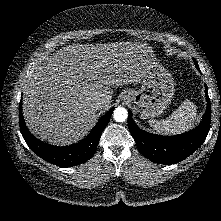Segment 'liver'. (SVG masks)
Returning a JSON list of instances; mask_svg holds the SVG:
<instances>
[{
  "label": "liver",
  "mask_w": 221,
  "mask_h": 221,
  "mask_svg": "<svg viewBox=\"0 0 221 221\" xmlns=\"http://www.w3.org/2000/svg\"><path fill=\"white\" fill-rule=\"evenodd\" d=\"M157 62L151 46L115 42L63 47L29 75L23 94L26 125L40 139L69 145L91 129L102 99L108 109L112 86L140 83L146 68Z\"/></svg>",
  "instance_id": "1"
}]
</instances>
